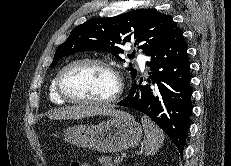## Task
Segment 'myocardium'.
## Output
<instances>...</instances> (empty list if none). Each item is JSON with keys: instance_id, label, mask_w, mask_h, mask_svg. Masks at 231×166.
<instances>
[{"instance_id": "obj_1", "label": "myocardium", "mask_w": 231, "mask_h": 166, "mask_svg": "<svg viewBox=\"0 0 231 166\" xmlns=\"http://www.w3.org/2000/svg\"><path fill=\"white\" fill-rule=\"evenodd\" d=\"M80 64H95L104 67L107 69L114 77L116 87L113 94L105 99H80L70 96L62 86V78L64 73L73 66L80 65ZM55 87L58 95L66 102L74 103L78 105L84 106H109L118 101L122 94L123 84L120 77L119 72L117 69L107 60L95 57H85L73 60L63 66L60 71L58 72L57 76L55 77Z\"/></svg>"}]
</instances>
